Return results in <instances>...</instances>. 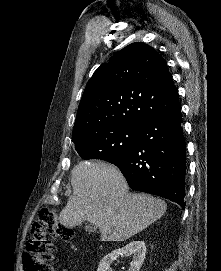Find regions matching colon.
I'll use <instances>...</instances> for the list:
<instances>
[{
    "label": "colon",
    "mask_w": 221,
    "mask_h": 271,
    "mask_svg": "<svg viewBox=\"0 0 221 271\" xmlns=\"http://www.w3.org/2000/svg\"><path fill=\"white\" fill-rule=\"evenodd\" d=\"M33 235L27 241L22 252L23 271H53L52 255L54 245L52 239L73 237V229L65 226L52 206H45L34 222Z\"/></svg>",
    "instance_id": "obj_1"
}]
</instances>
